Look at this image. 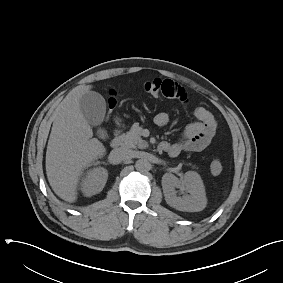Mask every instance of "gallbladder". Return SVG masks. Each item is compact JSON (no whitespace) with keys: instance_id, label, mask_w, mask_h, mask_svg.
<instances>
[{"instance_id":"1","label":"gallbladder","mask_w":283,"mask_h":283,"mask_svg":"<svg viewBox=\"0 0 283 283\" xmlns=\"http://www.w3.org/2000/svg\"><path fill=\"white\" fill-rule=\"evenodd\" d=\"M80 110L87 122L92 126H100L106 114V102L101 94L89 91L80 98ZM97 135L101 139L106 138V131L99 129Z\"/></svg>"}]
</instances>
